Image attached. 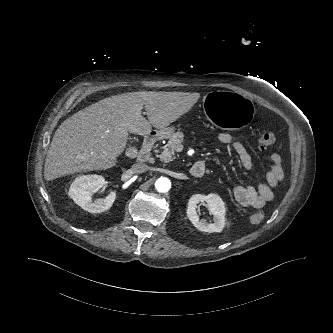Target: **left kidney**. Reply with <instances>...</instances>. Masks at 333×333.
<instances>
[{
  "instance_id": "1",
  "label": "left kidney",
  "mask_w": 333,
  "mask_h": 333,
  "mask_svg": "<svg viewBox=\"0 0 333 333\" xmlns=\"http://www.w3.org/2000/svg\"><path fill=\"white\" fill-rule=\"evenodd\" d=\"M206 201L209 211L214 216V223L208 224L206 220L199 219L196 207L199 202ZM225 204L216 194H195L188 201L187 217L200 231L214 233L221 232L225 225Z\"/></svg>"
}]
</instances>
